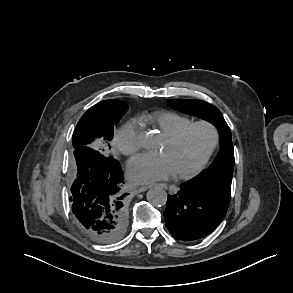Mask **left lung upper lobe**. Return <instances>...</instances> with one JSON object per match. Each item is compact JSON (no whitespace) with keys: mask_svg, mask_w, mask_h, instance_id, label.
Returning <instances> with one entry per match:
<instances>
[{"mask_svg":"<svg viewBox=\"0 0 293 293\" xmlns=\"http://www.w3.org/2000/svg\"><path fill=\"white\" fill-rule=\"evenodd\" d=\"M167 102L173 109L207 120L218 129L221 149L210 168L198 177L232 179L235 163L232 136L221 112L215 106L201 100L171 99Z\"/></svg>","mask_w":293,"mask_h":293,"instance_id":"5c2ea615","label":"left lung upper lobe"}]
</instances>
